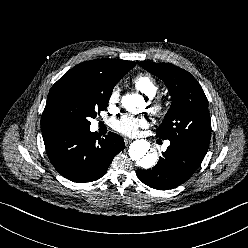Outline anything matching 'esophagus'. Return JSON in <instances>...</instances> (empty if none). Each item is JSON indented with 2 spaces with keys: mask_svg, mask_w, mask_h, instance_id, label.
I'll return each mask as SVG.
<instances>
[{
  "mask_svg": "<svg viewBox=\"0 0 248 248\" xmlns=\"http://www.w3.org/2000/svg\"><path fill=\"white\" fill-rule=\"evenodd\" d=\"M130 142H131V139H129V138H124V143H125V145L130 144Z\"/></svg>",
  "mask_w": 248,
  "mask_h": 248,
  "instance_id": "1",
  "label": "esophagus"
}]
</instances>
